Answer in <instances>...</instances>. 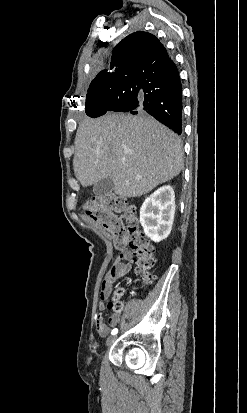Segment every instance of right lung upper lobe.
Here are the masks:
<instances>
[{"label": "right lung upper lobe", "instance_id": "obj_1", "mask_svg": "<svg viewBox=\"0 0 247 413\" xmlns=\"http://www.w3.org/2000/svg\"><path fill=\"white\" fill-rule=\"evenodd\" d=\"M171 62L165 47L154 35L135 32L119 42L112 51L110 70H102L94 80L124 81L135 73L160 71Z\"/></svg>", "mask_w": 247, "mask_h": 413}]
</instances>
